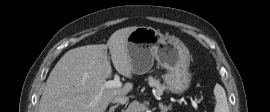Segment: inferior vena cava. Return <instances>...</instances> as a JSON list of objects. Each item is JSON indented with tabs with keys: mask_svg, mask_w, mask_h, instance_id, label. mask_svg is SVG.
<instances>
[{
	"mask_svg": "<svg viewBox=\"0 0 270 112\" xmlns=\"http://www.w3.org/2000/svg\"><path fill=\"white\" fill-rule=\"evenodd\" d=\"M129 100V98L125 95L121 96V95H118V96H115L111 99V102L112 103H120V104H125L127 103Z\"/></svg>",
	"mask_w": 270,
	"mask_h": 112,
	"instance_id": "602c4592",
	"label": "inferior vena cava"
}]
</instances>
